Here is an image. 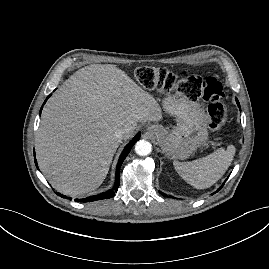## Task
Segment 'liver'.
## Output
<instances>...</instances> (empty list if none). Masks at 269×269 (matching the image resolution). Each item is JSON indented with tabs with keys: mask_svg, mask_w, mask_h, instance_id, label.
<instances>
[{
	"mask_svg": "<svg viewBox=\"0 0 269 269\" xmlns=\"http://www.w3.org/2000/svg\"><path fill=\"white\" fill-rule=\"evenodd\" d=\"M152 95L112 64L75 72L45 106L36 134L39 167L59 192L77 196L98 188L121 143L118 128L132 137L138 122L160 121Z\"/></svg>",
	"mask_w": 269,
	"mask_h": 269,
	"instance_id": "liver-1",
	"label": "liver"
}]
</instances>
